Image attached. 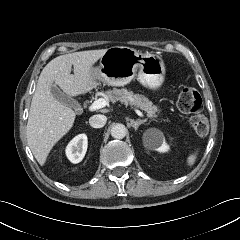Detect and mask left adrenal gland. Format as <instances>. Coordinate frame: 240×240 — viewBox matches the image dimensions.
Masks as SVG:
<instances>
[{"label": "left adrenal gland", "instance_id": "obj_1", "mask_svg": "<svg viewBox=\"0 0 240 240\" xmlns=\"http://www.w3.org/2000/svg\"><path fill=\"white\" fill-rule=\"evenodd\" d=\"M130 122H131V126L135 129V131H137V130H138V127H139L141 124H143L144 122H146V119H144V120L138 119V120H136V121L133 120V119H131Z\"/></svg>", "mask_w": 240, "mask_h": 240}]
</instances>
